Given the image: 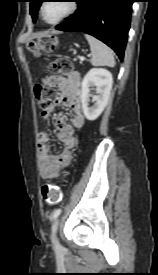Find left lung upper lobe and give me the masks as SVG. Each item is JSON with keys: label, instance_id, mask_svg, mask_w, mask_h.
<instances>
[{"label": "left lung upper lobe", "instance_id": "obj_1", "mask_svg": "<svg viewBox=\"0 0 158 275\" xmlns=\"http://www.w3.org/2000/svg\"><path fill=\"white\" fill-rule=\"evenodd\" d=\"M43 2V0H30V14L33 18V21H36L37 18V11L41 5V3Z\"/></svg>", "mask_w": 158, "mask_h": 275}]
</instances>
